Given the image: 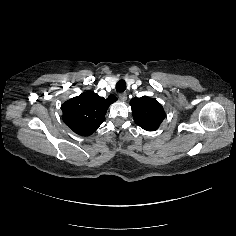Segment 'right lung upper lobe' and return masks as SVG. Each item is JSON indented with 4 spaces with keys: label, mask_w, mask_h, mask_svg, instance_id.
Masks as SVG:
<instances>
[{
    "label": "right lung upper lobe",
    "mask_w": 236,
    "mask_h": 236,
    "mask_svg": "<svg viewBox=\"0 0 236 236\" xmlns=\"http://www.w3.org/2000/svg\"><path fill=\"white\" fill-rule=\"evenodd\" d=\"M116 100L115 95L105 99L87 91L62 104V119L76 134L89 136L104 122L108 107Z\"/></svg>",
    "instance_id": "cb5924a9"
}]
</instances>
